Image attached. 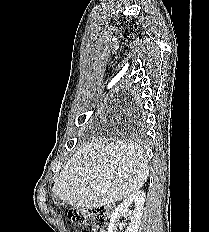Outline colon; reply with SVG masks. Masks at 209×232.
Wrapping results in <instances>:
<instances>
[{"instance_id": "5ec220e1", "label": "colon", "mask_w": 209, "mask_h": 232, "mask_svg": "<svg viewBox=\"0 0 209 232\" xmlns=\"http://www.w3.org/2000/svg\"><path fill=\"white\" fill-rule=\"evenodd\" d=\"M108 210L105 207H95L89 209H76L69 212V217L80 227H91L92 232H97L107 221ZM84 232H90L85 229Z\"/></svg>"}]
</instances>
